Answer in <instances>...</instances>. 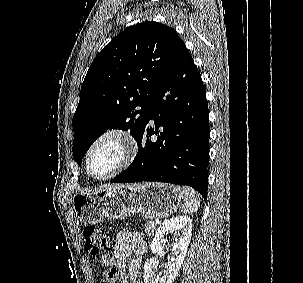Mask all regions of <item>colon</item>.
Returning a JSON list of instances; mask_svg holds the SVG:
<instances>
[{"mask_svg":"<svg viewBox=\"0 0 303 283\" xmlns=\"http://www.w3.org/2000/svg\"><path fill=\"white\" fill-rule=\"evenodd\" d=\"M83 240L85 250L91 255H97L112 246V238L109 232L93 225H88L84 228ZM106 276L115 279L117 277V270L114 268L109 269L104 278ZM104 281L102 280V283H106Z\"/></svg>","mask_w":303,"mask_h":283,"instance_id":"1","label":"colon"}]
</instances>
